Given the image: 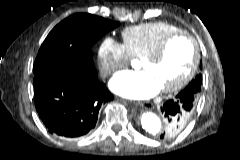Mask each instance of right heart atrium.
<instances>
[{"mask_svg": "<svg viewBox=\"0 0 240 160\" xmlns=\"http://www.w3.org/2000/svg\"><path fill=\"white\" fill-rule=\"evenodd\" d=\"M130 60L124 44L113 38H105L98 48V62L104 76H110L124 68Z\"/></svg>", "mask_w": 240, "mask_h": 160, "instance_id": "obj_1", "label": "right heart atrium"}]
</instances>
